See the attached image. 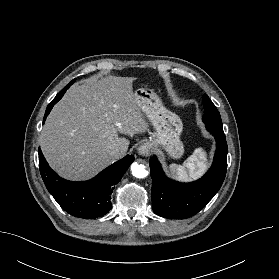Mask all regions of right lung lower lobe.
<instances>
[{
  "mask_svg": "<svg viewBox=\"0 0 279 279\" xmlns=\"http://www.w3.org/2000/svg\"><path fill=\"white\" fill-rule=\"evenodd\" d=\"M70 85L71 83L47 106L43 121ZM38 153L40 173L48 191L66 212L83 219L101 217L111 210L110 199L113 189L134 161L132 155H127L89 181L70 182L59 177L49 167L40 148Z\"/></svg>",
  "mask_w": 279,
  "mask_h": 279,
  "instance_id": "right-lung-lower-lobe-1",
  "label": "right lung lower lobe"
}]
</instances>
